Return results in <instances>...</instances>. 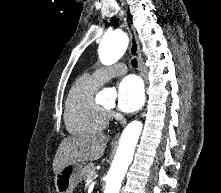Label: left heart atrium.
<instances>
[{
  "instance_id": "obj_1",
  "label": "left heart atrium",
  "mask_w": 221,
  "mask_h": 193,
  "mask_svg": "<svg viewBox=\"0 0 221 193\" xmlns=\"http://www.w3.org/2000/svg\"><path fill=\"white\" fill-rule=\"evenodd\" d=\"M144 87L141 80L134 75L122 79L118 86L117 105L125 113L137 111L144 103Z\"/></svg>"
}]
</instances>
